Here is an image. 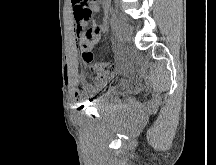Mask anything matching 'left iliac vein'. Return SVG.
Masks as SVG:
<instances>
[{"label": "left iliac vein", "mask_w": 216, "mask_h": 165, "mask_svg": "<svg viewBox=\"0 0 216 165\" xmlns=\"http://www.w3.org/2000/svg\"><path fill=\"white\" fill-rule=\"evenodd\" d=\"M115 34L117 38L122 42H127L130 40L131 33L129 24L124 18L118 19L115 27Z\"/></svg>", "instance_id": "left-iliac-vein-1"}]
</instances>
